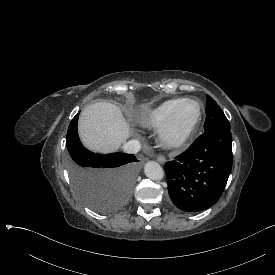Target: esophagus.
Instances as JSON below:
<instances>
[{
    "label": "esophagus",
    "instance_id": "obj_1",
    "mask_svg": "<svg viewBox=\"0 0 275 275\" xmlns=\"http://www.w3.org/2000/svg\"><path fill=\"white\" fill-rule=\"evenodd\" d=\"M146 159V158H145ZM157 161L161 164L166 162V157L164 155H159Z\"/></svg>",
    "mask_w": 275,
    "mask_h": 275
}]
</instances>
